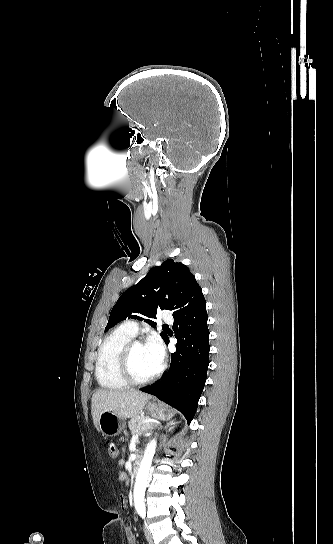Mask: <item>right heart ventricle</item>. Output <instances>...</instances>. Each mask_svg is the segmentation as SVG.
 I'll list each match as a JSON object with an SVG mask.
<instances>
[{
    "instance_id": "1",
    "label": "right heart ventricle",
    "mask_w": 333,
    "mask_h": 544,
    "mask_svg": "<svg viewBox=\"0 0 333 544\" xmlns=\"http://www.w3.org/2000/svg\"><path fill=\"white\" fill-rule=\"evenodd\" d=\"M133 335L122 326L109 333L101 343L95 366L98 384L108 390H120L128 386L119 370V358L124 346Z\"/></svg>"
}]
</instances>
